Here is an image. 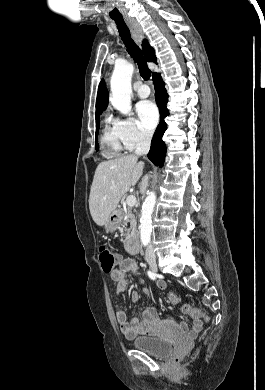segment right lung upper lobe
<instances>
[{
  "label": "right lung upper lobe",
  "mask_w": 265,
  "mask_h": 390,
  "mask_svg": "<svg viewBox=\"0 0 265 390\" xmlns=\"http://www.w3.org/2000/svg\"><path fill=\"white\" fill-rule=\"evenodd\" d=\"M142 48L146 59L149 62H154L157 64L155 51L146 40L143 41ZM108 101H109L108 90L106 88L104 80H102L99 84L98 93H97L96 118H99L100 114L106 109V107L108 106Z\"/></svg>",
  "instance_id": "cb5924a9"
}]
</instances>
